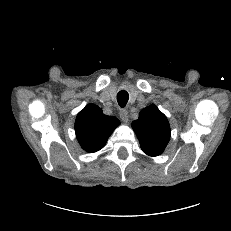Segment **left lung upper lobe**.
<instances>
[{"label": "left lung upper lobe", "mask_w": 231, "mask_h": 231, "mask_svg": "<svg viewBox=\"0 0 231 231\" xmlns=\"http://www.w3.org/2000/svg\"><path fill=\"white\" fill-rule=\"evenodd\" d=\"M141 145V149L149 156L160 155L170 139V125L166 116L154 104L144 108L139 118L132 122Z\"/></svg>", "instance_id": "1"}]
</instances>
